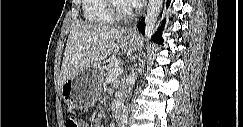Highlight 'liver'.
I'll return each mask as SVG.
<instances>
[{"instance_id":"6515ba94","label":"liver","mask_w":243,"mask_h":127,"mask_svg":"<svg viewBox=\"0 0 243 127\" xmlns=\"http://www.w3.org/2000/svg\"><path fill=\"white\" fill-rule=\"evenodd\" d=\"M125 28L78 23L70 31L60 71V85L92 64L109 57Z\"/></svg>"}]
</instances>
